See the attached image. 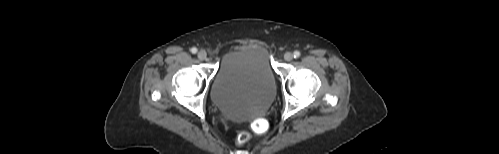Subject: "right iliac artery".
<instances>
[{"mask_svg":"<svg viewBox=\"0 0 499 154\" xmlns=\"http://www.w3.org/2000/svg\"><path fill=\"white\" fill-rule=\"evenodd\" d=\"M197 51H198V50H197V48H195V47H193V48L191 49V52H192L193 54H196V53H197Z\"/></svg>","mask_w":499,"mask_h":154,"instance_id":"82829eb1","label":"right iliac artery"}]
</instances>
